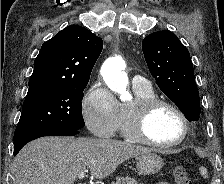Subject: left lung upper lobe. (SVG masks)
<instances>
[{
  "label": "left lung upper lobe",
  "instance_id": "left-lung-upper-lobe-1",
  "mask_svg": "<svg viewBox=\"0 0 224 184\" xmlns=\"http://www.w3.org/2000/svg\"><path fill=\"white\" fill-rule=\"evenodd\" d=\"M142 50L159 88L189 121H198L200 99L188 49L166 30L145 37Z\"/></svg>",
  "mask_w": 224,
  "mask_h": 184
}]
</instances>
